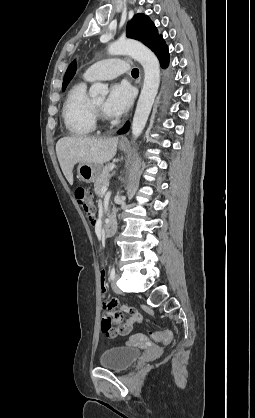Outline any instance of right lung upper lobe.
<instances>
[{
  "label": "right lung upper lobe",
  "instance_id": "obj_1",
  "mask_svg": "<svg viewBox=\"0 0 255 418\" xmlns=\"http://www.w3.org/2000/svg\"><path fill=\"white\" fill-rule=\"evenodd\" d=\"M75 71H76V61L74 60L71 64H70V66L68 67V69H67V71H66V73H65V77H64V80H63V86H62V88L65 86H67L68 85V83L70 82V80L72 79V77L74 76V74H75Z\"/></svg>",
  "mask_w": 255,
  "mask_h": 418
}]
</instances>
